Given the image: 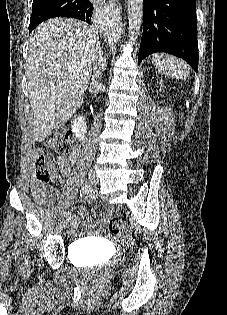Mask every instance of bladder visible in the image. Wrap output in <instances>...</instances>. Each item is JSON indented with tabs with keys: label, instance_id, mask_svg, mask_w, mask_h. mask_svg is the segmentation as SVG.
Wrapping results in <instances>:
<instances>
[{
	"label": "bladder",
	"instance_id": "obj_1",
	"mask_svg": "<svg viewBox=\"0 0 227 315\" xmlns=\"http://www.w3.org/2000/svg\"><path fill=\"white\" fill-rule=\"evenodd\" d=\"M75 246L80 248V249H87V252L93 251L95 253H100L102 251L101 248L98 247H92V243L88 240H81V241H76ZM86 251L84 250L82 253H85ZM79 266L83 267L85 266L84 264L79 263Z\"/></svg>",
	"mask_w": 227,
	"mask_h": 315
}]
</instances>
